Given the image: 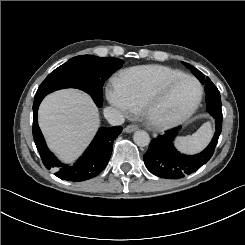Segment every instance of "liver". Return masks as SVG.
<instances>
[{"mask_svg": "<svg viewBox=\"0 0 245 245\" xmlns=\"http://www.w3.org/2000/svg\"><path fill=\"white\" fill-rule=\"evenodd\" d=\"M37 122L48 149L64 165L78 161L101 127L92 97L76 88L47 94L39 105Z\"/></svg>", "mask_w": 245, "mask_h": 245, "instance_id": "6515ba94", "label": "liver"}]
</instances>
